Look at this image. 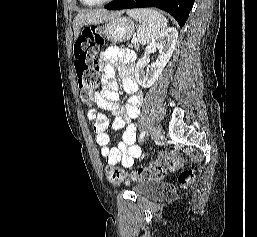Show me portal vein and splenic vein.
Segmentation results:
<instances>
[{
	"instance_id": "obj_1",
	"label": "portal vein and splenic vein",
	"mask_w": 257,
	"mask_h": 237,
	"mask_svg": "<svg viewBox=\"0 0 257 237\" xmlns=\"http://www.w3.org/2000/svg\"><path fill=\"white\" fill-rule=\"evenodd\" d=\"M132 42H133V43H138V39H137V38H133V39H132Z\"/></svg>"
}]
</instances>
